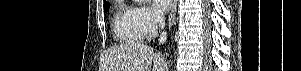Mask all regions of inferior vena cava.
<instances>
[{"label": "inferior vena cava", "mask_w": 301, "mask_h": 71, "mask_svg": "<svg viewBox=\"0 0 301 71\" xmlns=\"http://www.w3.org/2000/svg\"><path fill=\"white\" fill-rule=\"evenodd\" d=\"M157 20H158V23H159V27L161 29H164L165 27V20L162 16L158 15L157 16ZM167 39V33L166 32H162L160 34V37H159V44H163Z\"/></svg>", "instance_id": "602c4592"}]
</instances>
